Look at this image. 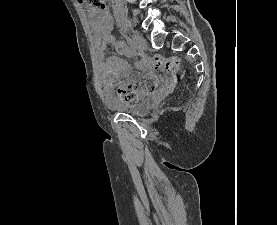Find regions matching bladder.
I'll use <instances>...</instances> for the list:
<instances>
[{
  "instance_id": "bladder-1",
  "label": "bladder",
  "mask_w": 277,
  "mask_h": 225,
  "mask_svg": "<svg viewBox=\"0 0 277 225\" xmlns=\"http://www.w3.org/2000/svg\"><path fill=\"white\" fill-rule=\"evenodd\" d=\"M110 108L117 112L129 113L134 115H143L148 113L152 108V100L149 96L132 103H117L111 105Z\"/></svg>"
}]
</instances>
